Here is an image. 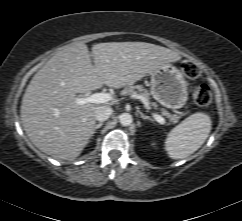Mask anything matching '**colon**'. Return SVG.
Masks as SVG:
<instances>
[{
  "mask_svg": "<svg viewBox=\"0 0 242 221\" xmlns=\"http://www.w3.org/2000/svg\"><path fill=\"white\" fill-rule=\"evenodd\" d=\"M181 70L185 76L191 79L198 78L200 75V68L191 61H185L181 65ZM212 99L210 88L207 85H201L197 87L193 92L194 102L201 107H205L210 104Z\"/></svg>",
  "mask_w": 242,
  "mask_h": 221,
  "instance_id": "colon-1",
  "label": "colon"
}]
</instances>
